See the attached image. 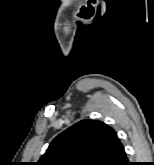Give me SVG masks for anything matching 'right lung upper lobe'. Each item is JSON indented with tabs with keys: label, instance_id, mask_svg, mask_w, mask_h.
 <instances>
[{
	"label": "right lung upper lobe",
	"instance_id": "cb5924a9",
	"mask_svg": "<svg viewBox=\"0 0 154 165\" xmlns=\"http://www.w3.org/2000/svg\"><path fill=\"white\" fill-rule=\"evenodd\" d=\"M116 132L101 121L82 120L59 134L37 165H108L118 152Z\"/></svg>",
	"mask_w": 154,
	"mask_h": 165
}]
</instances>
